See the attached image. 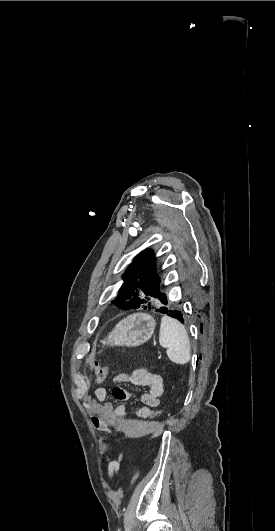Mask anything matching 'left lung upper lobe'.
<instances>
[{"instance_id":"obj_1","label":"left lung upper lobe","mask_w":275,"mask_h":531,"mask_svg":"<svg viewBox=\"0 0 275 531\" xmlns=\"http://www.w3.org/2000/svg\"><path fill=\"white\" fill-rule=\"evenodd\" d=\"M155 267L153 251L146 250L138 254L123 274L124 283L112 303L122 309H150L155 305L154 299H157L166 305V295L159 292L160 280Z\"/></svg>"}]
</instances>
